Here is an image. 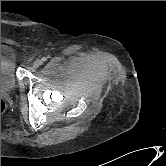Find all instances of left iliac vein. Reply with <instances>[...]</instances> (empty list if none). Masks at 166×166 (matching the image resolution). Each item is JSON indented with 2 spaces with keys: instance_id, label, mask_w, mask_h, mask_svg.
<instances>
[{
  "instance_id": "obj_1",
  "label": "left iliac vein",
  "mask_w": 166,
  "mask_h": 166,
  "mask_svg": "<svg viewBox=\"0 0 166 166\" xmlns=\"http://www.w3.org/2000/svg\"><path fill=\"white\" fill-rule=\"evenodd\" d=\"M41 64H42L41 60H36V61L33 63V67H34V68H38Z\"/></svg>"
}]
</instances>
